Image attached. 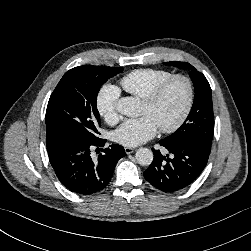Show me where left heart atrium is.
<instances>
[{
    "instance_id": "39dd6f15",
    "label": "left heart atrium",
    "mask_w": 251,
    "mask_h": 251,
    "mask_svg": "<svg viewBox=\"0 0 251 251\" xmlns=\"http://www.w3.org/2000/svg\"><path fill=\"white\" fill-rule=\"evenodd\" d=\"M157 124L149 115L126 120L114 133L117 143L126 147L138 146L153 138L157 132Z\"/></svg>"
}]
</instances>
